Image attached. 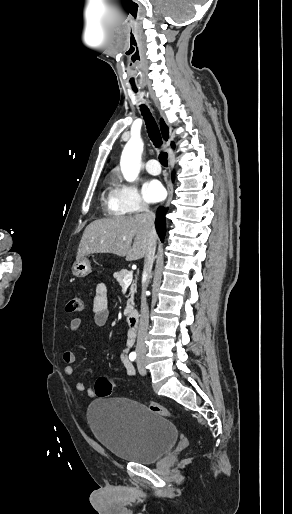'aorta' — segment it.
Here are the masks:
<instances>
[{"mask_svg": "<svg viewBox=\"0 0 292 514\" xmlns=\"http://www.w3.org/2000/svg\"><path fill=\"white\" fill-rule=\"evenodd\" d=\"M142 150L140 138H131L122 152L120 168L127 182H134L139 176Z\"/></svg>", "mask_w": 292, "mask_h": 514, "instance_id": "762f6f07", "label": "aorta"}]
</instances>
